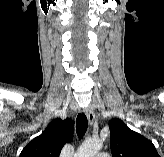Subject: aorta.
<instances>
[{
	"mask_svg": "<svg viewBox=\"0 0 164 157\" xmlns=\"http://www.w3.org/2000/svg\"><path fill=\"white\" fill-rule=\"evenodd\" d=\"M102 148V143L98 140H89L79 147L75 157H95Z\"/></svg>",
	"mask_w": 164,
	"mask_h": 157,
	"instance_id": "762f6f07",
	"label": "aorta"
}]
</instances>
